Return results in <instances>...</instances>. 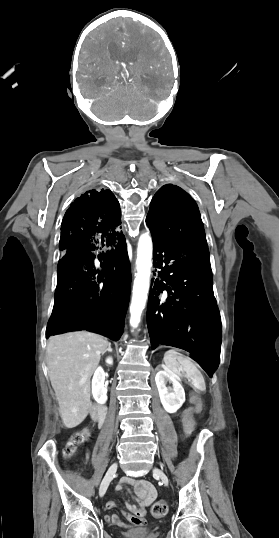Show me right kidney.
Returning <instances> with one entry per match:
<instances>
[{"instance_id": "right-kidney-1", "label": "right kidney", "mask_w": 279, "mask_h": 538, "mask_svg": "<svg viewBox=\"0 0 279 538\" xmlns=\"http://www.w3.org/2000/svg\"><path fill=\"white\" fill-rule=\"evenodd\" d=\"M106 364H113L112 358H107ZM104 382L105 372L102 368H97L92 380V394L98 404H105L107 402V388H105Z\"/></svg>"}]
</instances>
